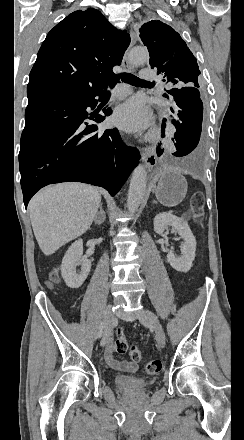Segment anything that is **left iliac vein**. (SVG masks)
Segmentation results:
<instances>
[{
    "label": "left iliac vein",
    "instance_id": "obj_1",
    "mask_svg": "<svg viewBox=\"0 0 244 440\" xmlns=\"http://www.w3.org/2000/svg\"><path fill=\"white\" fill-rule=\"evenodd\" d=\"M139 320L143 325H148L155 331L157 345L165 347V333L158 320V317L150 310H142L139 314Z\"/></svg>",
    "mask_w": 244,
    "mask_h": 440
}]
</instances>
